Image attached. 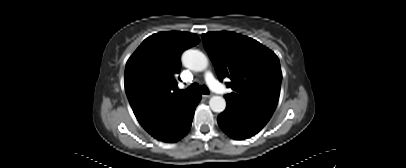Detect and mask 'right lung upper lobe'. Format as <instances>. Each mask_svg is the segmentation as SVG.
Instances as JSON below:
<instances>
[{
  "instance_id": "cb5924a9",
  "label": "right lung upper lobe",
  "mask_w": 406,
  "mask_h": 168,
  "mask_svg": "<svg viewBox=\"0 0 406 168\" xmlns=\"http://www.w3.org/2000/svg\"><path fill=\"white\" fill-rule=\"evenodd\" d=\"M188 32H160L146 38L125 68V91L132 110L153 137L161 134L194 94L177 91L181 53L198 44Z\"/></svg>"
}]
</instances>
